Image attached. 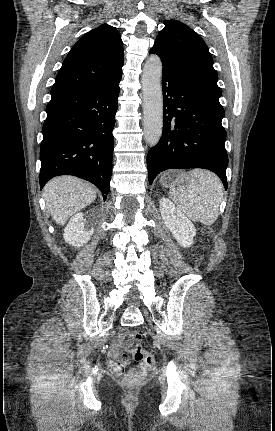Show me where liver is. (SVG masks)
<instances>
[{
    "mask_svg": "<svg viewBox=\"0 0 275 431\" xmlns=\"http://www.w3.org/2000/svg\"><path fill=\"white\" fill-rule=\"evenodd\" d=\"M43 196L54 221L64 225L73 214L95 201L96 191L77 177L60 176L45 185Z\"/></svg>",
    "mask_w": 275,
    "mask_h": 431,
    "instance_id": "liver-1",
    "label": "liver"
}]
</instances>
